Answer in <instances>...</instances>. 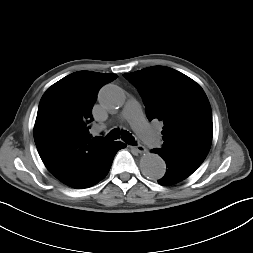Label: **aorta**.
Returning a JSON list of instances; mask_svg holds the SVG:
<instances>
[{"label":"aorta","instance_id":"obj_1","mask_svg":"<svg viewBox=\"0 0 253 253\" xmlns=\"http://www.w3.org/2000/svg\"><path fill=\"white\" fill-rule=\"evenodd\" d=\"M98 99L104 109L115 111L124 105L126 97L120 87L108 84L100 90ZM140 168L143 174L151 179H160L166 172L164 160L154 153H148L141 157Z\"/></svg>","mask_w":253,"mask_h":253}]
</instances>
